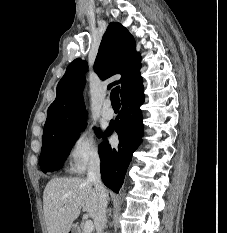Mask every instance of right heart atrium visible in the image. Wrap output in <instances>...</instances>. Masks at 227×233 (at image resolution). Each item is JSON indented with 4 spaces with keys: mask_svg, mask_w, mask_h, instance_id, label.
<instances>
[{
    "mask_svg": "<svg viewBox=\"0 0 227 233\" xmlns=\"http://www.w3.org/2000/svg\"><path fill=\"white\" fill-rule=\"evenodd\" d=\"M101 160L100 147L95 132L89 128L80 129L73 137L67 151L68 169L81 174Z\"/></svg>",
    "mask_w": 227,
    "mask_h": 233,
    "instance_id": "d8ad5b80",
    "label": "right heart atrium"
}]
</instances>
